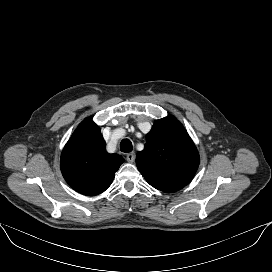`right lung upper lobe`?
I'll use <instances>...</instances> for the list:
<instances>
[{"mask_svg": "<svg viewBox=\"0 0 272 272\" xmlns=\"http://www.w3.org/2000/svg\"><path fill=\"white\" fill-rule=\"evenodd\" d=\"M105 146L100 128L92 119L82 121L65 145L60 160L63 177L75 191L93 196L111 185L124 159L107 153Z\"/></svg>", "mask_w": 272, "mask_h": 272, "instance_id": "obj_1", "label": "right lung upper lobe"}]
</instances>
